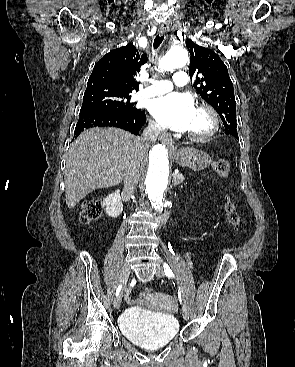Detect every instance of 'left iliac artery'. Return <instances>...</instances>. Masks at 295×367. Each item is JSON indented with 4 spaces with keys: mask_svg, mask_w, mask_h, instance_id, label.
Here are the masks:
<instances>
[{
    "mask_svg": "<svg viewBox=\"0 0 295 367\" xmlns=\"http://www.w3.org/2000/svg\"><path fill=\"white\" fill-rule=\"evenodd\" d=\"M163 268H164V272H165L166 276L174 277V274H173L172 270L170 269V267L167 263H163ZM178 297H179V300L181 302L182 300H181V291H180V289L178 290Z\"/></svg>",
    "mask_w": 295,
    "mask_h": 367,
    "instance_id": "1",
    "label": "left iliac artery"
}]
</instances>
